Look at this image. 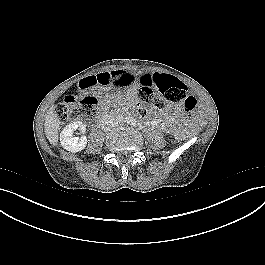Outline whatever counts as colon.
Segmentation results:
<instances>
[{"label": "colon", "instance_id": "colon-1", "mask_svg": "<svg viewBox=\"0 0 265 265\" xmlns=\"http://www.w3.org/2000/svg\"><path fill=\"white\" fill-rule=\"evenodd\" d=\"M149 82L153 88L158 90L159 94L150 86H143L139 90L138 113L142 117H150L152 110L161 108L165 101L179 104L187 111L195 109L196 98L188 92L187 86L178 78L156 72L150 76ZM98 103V99L91 95L79 99L67 96L55 106L54 113L59 121L91 120L96 115Z\"/></svg>", "mask_w": 265, "mask_h": 265}]
</instances>
